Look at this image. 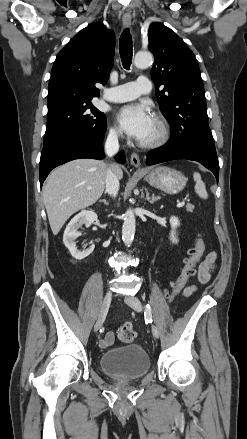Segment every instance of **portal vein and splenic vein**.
Segmentation results:
<instances>
[{
    "mask_svg": "<svg viewBox=\"0 0 247 439\" xmlns=\"http://www.w3.org/2000/svg\"><path fill=\"white\" fill-rule=\"evenodd\" d=\"M184 204H185V201H180L177 203V207H182V206H184Z\"/></svg>",
    "mask_w": 247,
    "mask_h": 439,
    "instance_id": "obj_1",
    "label": "portal vein and splenic vein"
}]
</instances>
